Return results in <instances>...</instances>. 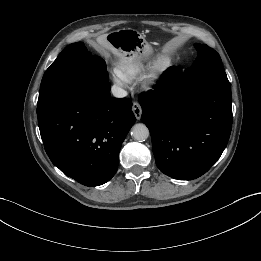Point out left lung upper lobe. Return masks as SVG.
<instances>
[{
    "label": "left lung upper lobe",
    "mask_w": 261,
    "mask_h": 261,
    "mask_svg": "<svg viewBox=\"0 0 261 261\" xmlns=\"http://www.w3.org/2000/svg\"><path fill=\"white\" fill-rule=\"evenodd\" d=\"M198 51V56L193 63L192 68H187L184 71L185 79L191 77L194 73L204 69H216L224 71L219 54L205 44H195Z\"/></svg>",
    "instance_id": "5c2ea615"
}]
</instances>
